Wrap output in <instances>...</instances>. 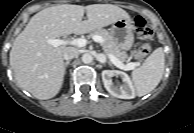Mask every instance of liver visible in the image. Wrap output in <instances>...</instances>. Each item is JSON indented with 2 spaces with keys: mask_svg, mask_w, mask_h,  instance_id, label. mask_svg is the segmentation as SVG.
Returning a JSON list of instances; mask_svg holds the SVG:
<instances>
[{
  "mask_svg": "<svg viewBox=\"0 0 194 133\" xmlns=\"http://www.w3.org/2000/svg\"><path fill=\"white\" fill-rule=\"evenodd\" d=\"M85 12L87 20L83 21ZM121 18L130 16L112 4H62L41 10L15 38L10 51V66L18 85L37 99L53 98L63 84V54L67 47H53L46 39L89 33Z\"/></svg>",
  "mask_w": 194,
  "mask_h": 133,
  "instance_id": "liver-1",
  "label": "liver"
}]
</instances>
